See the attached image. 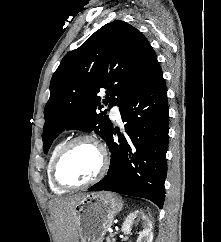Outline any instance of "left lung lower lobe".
<instances>
[{
    "label": "left lung lower lobe",
    "instance_id": "obj_1",
    "mask_svg": "<svg viewBox=\"0 0 221 242\" xmlns=\"http://www.w3.org/2000/svg\"><path fill=\"white\" fill-rule=\"evenodd\" d=\"M125 135L113 128L106 138L111 152L107 176L89 191H114L151 200L159 208L165 198L169 108L167 88L159 66L152 76L120 105Z\"/></svg>",
    "mask_w": 221,
    "mask_h": 242
}]
</instances>
